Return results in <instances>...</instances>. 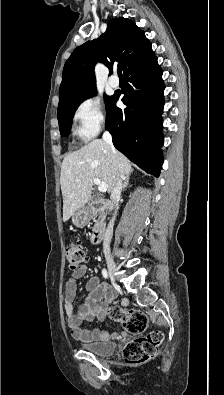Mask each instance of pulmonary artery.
I'll list each match as a JSON object with an SVG mask.
<instances>
[{
  "instance_id": "e3ab8cb5",
  "label": "pulmonary artery",
  "mask_w": 224,
  "mask_h": 395,
  "mask_svg": "<svg viewBox=\"0 0 224 395\" xmlns=\"http://www.w3.org/2000/svg\"><path fill=\"white\" fill-rule=\"evenodd\" d=\"M109 85L112 88H117L119 86V80L117 77L113 76L110 80H109Z\"/></svg>"
}]
</instances>
